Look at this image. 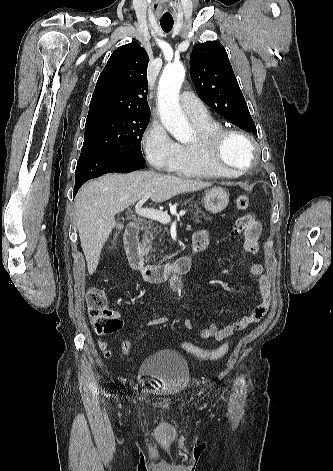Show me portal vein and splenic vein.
Instances as JSON below:
<instances>
[{
	"mask_svg": "<svg viewBox=\"0 0 333 471\" xmlns=\"http://www.w3.org/2000/svg\"><path fill=\"white\" fill-rule=\"evenodd\" d=\"M152 195V192H148L144 195V197L136 204L135 212L139 216L150 218L153 220H157L163 224H168L171 222L170 216L166 212L154 210L151 208H142V204ZM185 210H181L178 216H184Z\"/></svg>",
	"mask_w": 333,
	"mask_h": 471,
	"instance_id": "18ae733b",
	"label": "portal vein and splenic vein"
}]
</instances>
